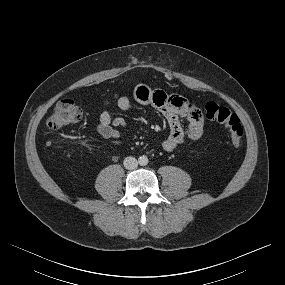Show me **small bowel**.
<instances>
[{"label":"small bowel","mask_w":285,"mask_h":285,"mask_svg":"<svg viewBox=\"0 0 285 285\" xmlns=\"http://www.w3.org/2000/svg\"><path fill=\"white\" fill-rule=\"evenodd\" d=\"M134 99L142 105L156 108L166 119L169 126V135L161 142L166 152L175 151L186 138L199 139L203 134L204 117L202 111L180 95H169L162 90H153L146 85H138L133 92ZM131 98L122 95L117 99L120 110L126 111L131 107ZM180 118L188 122L185 129ZM127 129V122L123 117L113 116L106 109L100 114L97 132L106 139H112L115 146H119V138Z\"/></svg>","instance_id":"obj_1"}]
</instances>
